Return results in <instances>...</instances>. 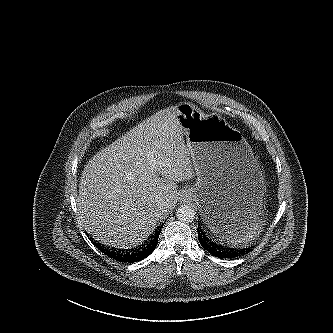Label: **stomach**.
Segmentation results:
<instances>
[{
    "label": "stomach",
    "instance_id": "1",
    "mask_svg": "<svg viewBox=\"0 0 333 333\" xmlns=\"http://www.w3.org/2000/svg\"><path fill=\"white\" fill-rule=\"evenodd\" d=\"M178 121L196 170L186 197L222 240L237 242L266 222L263 170L245 137L220 115H206L182 102Z\"/></svg>",
    "mask_w": 333,
    "mask_h": 333
}]
</instances>
